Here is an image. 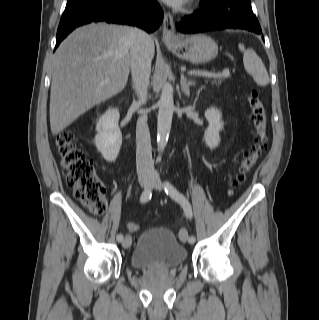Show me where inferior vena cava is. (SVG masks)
<instances>
[{
	"mask_svg": "<svg viewBox=\"0 0 319 320\" xmlns=\"http://www.w3.org/2000/svg\"><path fill=\"white\" fill-rule=\"evenodd\" d=\"M130 37L132 40L131 75L133 88L138 96V102L143 104L146 101L151 73V37L145 31L136 27L130 29ZM136 146V166L138 175H152L155 170L152 160L150 133L147 125V117L145 115L140 117L137 121Z\"/></svg>",
	"mask_w": 319,
	"mask_h": 320,
	"instance_id": "602c4592",
	"label": "inferior vena cava"
}]
</instances>
